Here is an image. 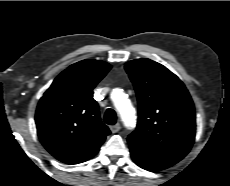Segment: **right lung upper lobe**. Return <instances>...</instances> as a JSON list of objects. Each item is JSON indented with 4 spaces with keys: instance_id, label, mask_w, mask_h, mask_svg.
<instances>
[{
    "instance_id": "right-lung-upper-lobe-1",
    "label": "right lung upper lobe",
    "mask_w": 230,
    "mask_h": 186,
    "mask_svg": "<svg viewBox=\"0 0 230 186\" xmlns=\"http://www.w3.org/2000/svg\"><path fill=\"white\" fill-rule=\"evenodd\" d=\"M111 69L83 60L60 73L38 103L35 121L43 146L58 160L77 164L99 151L108 127L102 123L93 88Z\"/></svg>"
}]
</instances>
